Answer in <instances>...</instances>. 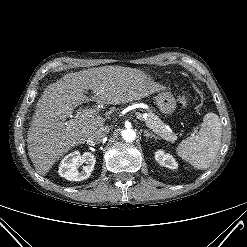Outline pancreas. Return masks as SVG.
<instances>
[{
  "mask_svg": "<svg viewBox=\"0 0 247 247\" xmlns=\"http://www.w3.org/2000/svg\"><path fill=\"white\" fill-rule=\"evenodd\" d=\"M146 126L150 128L155 134H157L161 139H164L170 143H174L177 139L176 134L169 130L162 122V120L153 113L152 110L148 111L147 117L143 119Z\"/></svg>",
  "mask_w": 247,
  "mask_h": 247,
  "instance_id": "obj_1",
  "label": "pancreas"
}]
</instances>
